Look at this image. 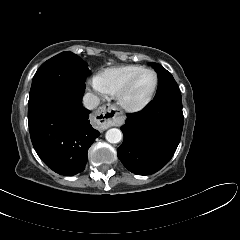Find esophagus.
Here are the masks:
<instances>
[{
	"label": "esophagus",
	"instance_id": "obj_1",
	"mask_svg": "<svg viewBox=\"0 0 240 240\" xmlns=\"http://www.w3.org/2000/svg\"><path fill=\"white\" fill-rule=\"evenodd\" d=\"M120 113L117 111L114 105H104L95 112L94 120L97 125L103 129H107L112 126L119 118Z\"/></svg>",
	"mask_w": 240,
	"mask_h": 240
}]
</instances>
